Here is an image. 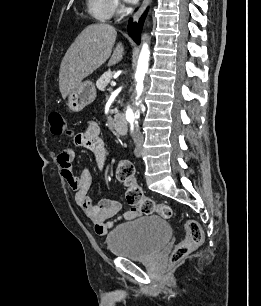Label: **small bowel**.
<instances>
[{"mask_svg":"<svg viewBox=\"0 0 261 306\" xmlns=\"http://www.w3.org/2000/svg\"><path fill=\"white\" fill-rule=\"evenodd\" d=\"M74 145L90 150L99 169H103L108 152L101 137L100 128L95 123H90L86 128L74 136ZM74 149L69 144L57 156L60 172L68 186L75 192L74 200L77 206L93 223L98 235H106L108 231L122 220H130L137 216L136 209H130L122 214L121 204L115 200L102 198L94 203L87 196L92 184V176L87 167L81 169L79 174L73 171Z\"/></svg>","mask_w":261,"mask_h":306,"instance_id":"1","label":"small bowel"}]
</instances>
